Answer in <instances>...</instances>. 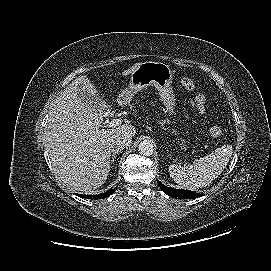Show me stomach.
<instances>
[{
	"label": "stomach",
	"instance_id": "stomach-1",
	"mask_svg": "<svg viewBox=\"0 0 271 271\" xmlns=\"http://www.w3.org/2000/svg\"><path fill=\"white\" fill-rule=\"evenodd\" d=\"M173 71L170 67L161 62H144L131 73L129 86L119 95L118 102L124 104L139 91L154 86L165 106V112L169 114V123H176V99L172 88ZM171 119H173L171 121ZM175 132V131H173ZM181 149H186L185 140L178 139Z\"/></svg>",
	"mask_w": 271,
	"mask_h": 271
}]
</instances>
